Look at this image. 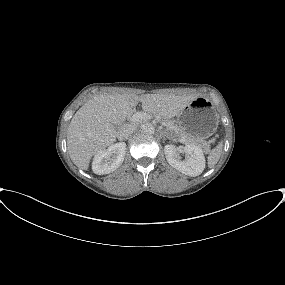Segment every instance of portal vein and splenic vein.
Masks as SVG:
<instances>
[{"label": "portal vein and splenic vein", "mask_w": 285, "mask_h": 285, "mask_svg": "<svg viewBox=\"0 0 285 285\" xmlns=\"http://www.w3.org/2000/svg\"><path fill=\"white\" fill-rule=\"evenodd\" d=\"M150 116L147 113L144 112H136L135 114L132 115L131 121L132 122H138L141 120L148 119Z\"/></svg>", "instance_id": "1"}]
</instances>
